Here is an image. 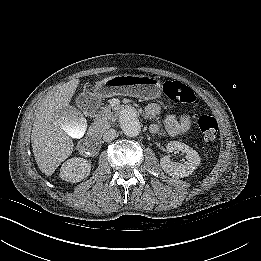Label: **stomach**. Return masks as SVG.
I'll return each instance as SVG.
<instances>
[{"label": "stomach", "mask_w": 261, "mask_h": 261, "mask_svg": "<svg viewBox=\"0 0 261 261\" xmlns=\"http://www.w3.org/2000/svg\"><path fill=\"white\" fill-rule=\"evenodd\" d=\"M161 94V83L156 78L137 75H117L98 81L90 101L117 95L155 99Z\"/></svg>", "instance_id": "obj_1"}]
</instances>
